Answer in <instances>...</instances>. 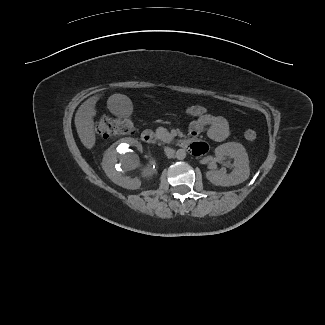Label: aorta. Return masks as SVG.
Masks as SVG:
<instances>
[{
    "mask_svg": "<svg viewBox=\"0 0 325 325\" xmlns=\"http://www.w3.org/2000/svg\"><path fill=\"white\" fill-rule=\"evenodd\" d=\"M185 157H186V151L184 149L177 150V152H176V158L178 160H183V159H185Z\"/></svg>",
    "mask_w": 325,
    "mask_h": 325,
    "instance_id": "762f6f07",
    "label": "aorta"
}]
</instances>
